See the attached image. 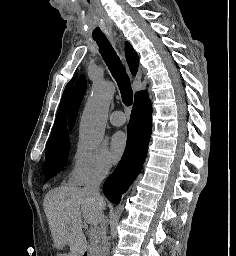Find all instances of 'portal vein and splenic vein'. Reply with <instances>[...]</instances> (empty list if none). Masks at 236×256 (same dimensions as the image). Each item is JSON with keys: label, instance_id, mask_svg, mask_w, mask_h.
I'll return each instance as SVG.
<instances>
[{"label": "portal vein and splenic vein", "instance_id": "portal-vein-and-splenic-vein-1", "mask_svg": "<svg viewBox=\"0 0 236 256\" xmlns=\"http://www.w3.org/2000/svg\"><path fill=\"white\" fill-rule=\"evenodd\" d=\"M91 234H93L94 230H90Z\"/></svg>", "mask_w": 236, "mask_h": 256}]
</instances>
